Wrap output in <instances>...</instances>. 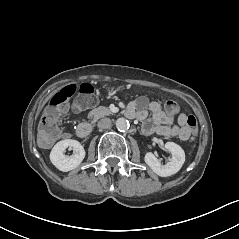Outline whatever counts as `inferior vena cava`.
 <instances>
[{"label": "inferior vena cava", "mask_w": 239, "mask_h": 239, "mask_svg": "<svg viewBox=\"0 0 239 239\" xmlns=\"http://www.w3.org/2000/svg\"><path fill=\"white\" fill-rule=\"evenodd\" d=\"M111 126V120L109 118H102L98 121V127L100 129H108Z\"/></svg>", "instance_id": "1"}]
</instances>
